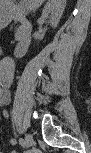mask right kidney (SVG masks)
<instances>
[{
    "instance_id": "ca27d5eb",
    "label": "right kidney",
    "mask_w": 91,
    "mask_h": 153,
    "mask_svg": "<svg viewBox=\"0 0 91 153\" xmlns=\"http://www.w3.org/2000/svg\"><path fill=\"white\" fill-rule=\"evenodd\" d=\"M65 4L62 0H49L42 10L41 18L45 19L50 14V24L56 28L63 14ZM34 38L41 40L43 34L34 33Z\"/></svg>"
}]
</instances>
